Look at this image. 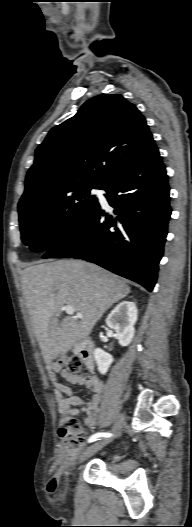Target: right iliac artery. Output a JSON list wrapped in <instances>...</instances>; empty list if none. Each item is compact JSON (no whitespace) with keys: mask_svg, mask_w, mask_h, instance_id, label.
Returning a JSON list of instances; mask_svg holds the SVG:
<instances>
[{"mask_svg":"<svg viewBox=\"0 0 192 527\" xmlns=\"http://www.w3.org/2000/svg\"><path fill=\"white\" fill-rule=\"evenodd\" d=\"M111 436H112V434L109 433V432H98V433H95L92 436H90V438L88 439V442L92 443L94 441L100 440V438H102V437L110 438Z\"/></svg>","mask_w":192,"mask_h":527,"instance_id":"1","label":"right iliac artery"}]
</instances>
